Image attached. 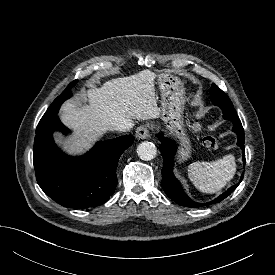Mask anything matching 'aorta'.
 Wrapping results in <instances>:
<instances>
[{
  "label": "aorta",
  "instance_id": "762f6f07",
  "mask_svg": "<svg viewBox=\"0 0 275 275\" xmlns=\"http://www.w3.org/2000/svg\"><path fill=\"white\" fill-rule=\"evenodd\" d=\"M137 154L140 159L150 161L155 158L157 149L154 143L145 141L138 145Z\"/></svg>",
  "mask_w": 275,
  "mask_h": 275
}]
</instances>
